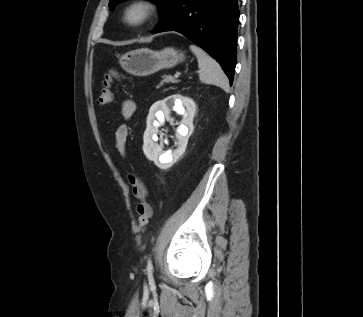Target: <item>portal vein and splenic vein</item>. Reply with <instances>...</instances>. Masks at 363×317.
Listing matches in <instances>:
<instances>
[{
  "instance_id": "18ae733b",
  "label": "portal vein and splenic vein",
  "mask_w": 363,
  "mask_h": 317,
  "mask_svg": "<svg viewBox=\"0 0 363 317\" xmlns=\"http://www.w3.org/2000/svg\"><path fill=\"white\" fill-rule=\"evenodd\" d=\"M179 76H180V73H176L174 77L178 78Z\"/></svg>"
}]
</instances>
